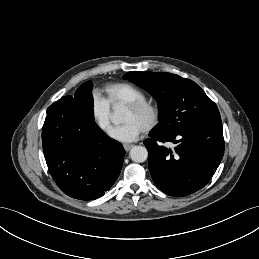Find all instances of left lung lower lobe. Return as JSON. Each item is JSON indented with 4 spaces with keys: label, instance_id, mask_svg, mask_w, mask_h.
I'll use <instances>...</instances> for the list:
<instances>
[{
    "label": "left lung lower lobe",
    "instance_id": "1",
    "mask_svg": "<svg viewBox=\"0 0 259 259\" xmlns=\"http://www.w3.org/2000/svg\"><path fill=\"white\" fill-rule=\"evenodd\" d=\"M173 142L172 151L160 142ZM154 183L170 196L182 197L203 188L224 154L222 123L209 124L174 135L151 134L144 142Z\"/></svg>",
    "mask_w": 259,
    "mask_h": 259
}]
</instances>
